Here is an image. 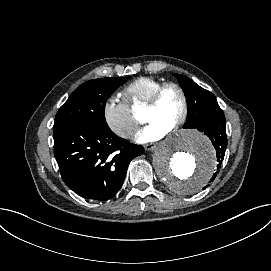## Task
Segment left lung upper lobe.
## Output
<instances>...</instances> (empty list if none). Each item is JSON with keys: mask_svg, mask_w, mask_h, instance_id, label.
I'll use <instances>...</instances> for the list:
<instances>
[{"mask_svg": "<svg viewBox=\"0 0 271 271\" xmlns=\"http://www.w3.org/2000/svg\"><path fill=\"white\" fill-rule=\"evenodd\" d=\"M175 77L179 80L188 99V115L184 128H197L208 113L220 108L216 97L185 75L175 74Z\"/></svg>", "mask_w": 271, "mask_h": 271, "instance_id": "left-lung-upper-lobe-1", "label": "left lung upper lobe"}]
</instances>
